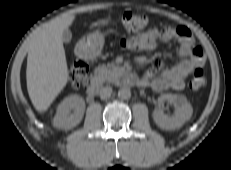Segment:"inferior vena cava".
<instances>
[{"label":"inferior vena cava","mask_w":231,"mask_h":170,"mask_svg":"<svg viewBox=\"0 0 231 170\" xmlns=\"http://www.w3.org/2000/svg\"><path fill=\"white\" fill-rule=\"evenodd\" d=\"M112 94V88L109 86L102 87L99 91V95L101 99H108Z\"/></svg>","instance_id":"inferior-vena-cava-1"}]
</instances>
